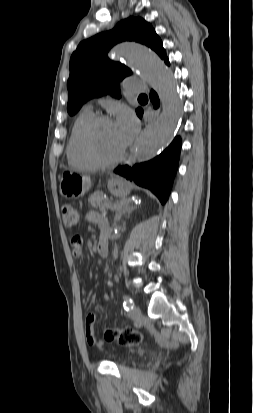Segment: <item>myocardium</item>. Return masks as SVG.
<instances>
[{
	"mask_svg": "<svg viewBox=\"0 0 253 413\" xmlns=\"http://www.w3.org/2000/svg\"><path fill=\"white\" fill-rule=\"evenodd\" d=\"M112 119L106 115L94 116L84 127L82 132V146L87 157L97 166L110 167L120 163L125 155L126 149L124 148L116 157L106 159L98 155L93 145V135L95 130L104 123H111Z\"/></svg>",
	"mask_w": 253,
	"mask_h": 413,
	"instance_id": "myocardium-1",
	"label": "myocardium"
}]
</instances>
